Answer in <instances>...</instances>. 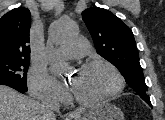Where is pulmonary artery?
Listing matches in <instances>:
<instances>
[{
    "label": "pulmonary artery",
    "mask_w": 165,
    "mask_h": 120,
    "mask_svg": "<svg viewBox=\"0 0 165 120\" xmlns=\"http://www.w3.org/2000/svg\"><path fill=\"white\" fill-rule=\"evenodd\" d=\"M88 51L87 43L82 39H74L58 49V53L69 57H80Z\"/></svg>",
    "instance_id": "obj_1"
}]
</instances>
